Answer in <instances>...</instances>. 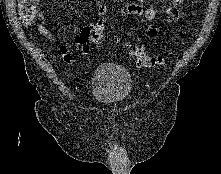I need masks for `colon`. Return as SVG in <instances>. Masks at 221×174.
Instances as JSON below:
<instances>
[{"mask_svg": "<svg viewBox=\"0 0 221 174\" xmlns=\"http://www.w3.org/2000/svg\"><path fill=\"white\" fill-rule=\"evenodd\" d=\"M19 5V17L25 26L32 25L39 15L40 0H17ZM105 38L103 21L99 19L98 23L92 27L81 31L80 39L86 44L91 42L98 45ZM141 35L130 43V54L137 60V63L143 67H159L166 63V56L163 54H150L146 46L140 42ZM84 50L89 52V47L85 45Z\"/></svg>", "mask_w": 221, "mask_h": 174, "instance_id": "1", "label": "colon"}]
</instances>
